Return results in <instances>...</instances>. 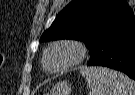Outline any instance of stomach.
<instances>
[{
  "instance_id": "0dacf381",
  "label": "stomach",
  "mask_w": 135,
  "mask_h": 95,
  "mask_svg": "<svg viewBox=\"0 0 135 95\" xmlns=\"http://www.w3.org/2000/svg\"><path fill=\"white\" fill-rule=\"evenodd\" d=\"M71 91V85L66 81H61L56 83L47 95H70Z\"/></svg>"
}]
</instances>
